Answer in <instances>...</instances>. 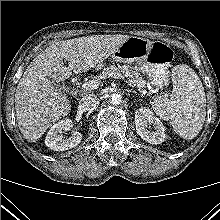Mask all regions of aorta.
<instances>
[{
  "mask_svg": "<svg viewBox=\"0 0 220 220\" xmlns=\"http://www.w3.org/2000/svg\"><path fill=\"white\" fill-rule=\"evenodd\" d=\"M111 104L119 105L122 102V96L120 94H112L110 98Z\"/></svg>",
  "mask_w": 220,
  "mask_h": 220,
  "instance_id": "obj_1",
  "label": "aorta"
}]
</instances>
